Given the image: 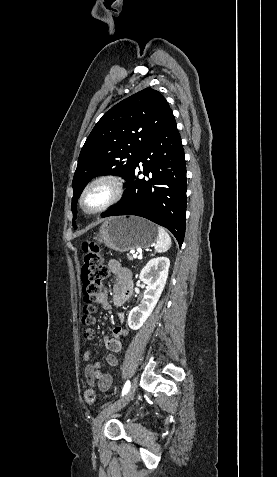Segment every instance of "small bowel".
Masks as SVG:
<instances>
[{
	"mask_svg": "<svg viewBox=\"0 0 277 477\" xmlns=\"http://www.w3.org/2000/svg\"><path fill=\"white\" fill-rule=\"evenodd\" d=\"M108 268L117 277L113 287L112 302L115 306H122L126 303L132 293L133 283L131 272L129 269L121 266L120 263L115 260L108 262ZM99 303L105 310H109L111 308V303L106 292L102 294ZM119 318L122 320L123 314H120ZM125 336H127V330L121 326L114 327L112 336H104V343L109 351L105 357V360L109 366L114 367L118 364L116 353L121 350L122 338ZM91 355V350L85 351L83 355L86 380L89 385H96L100 391L106 392L111 388L113 378L111 374L104 373L100 370L101 363L90 362Z\"/></svg>",
	"mask_w": 277,
	"mask_h": 477,
	"instance_id": "c3829d8e",
	"label": "small bowel"
}]
</instances>
